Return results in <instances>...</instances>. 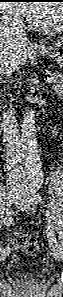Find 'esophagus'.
<instances>
[{
    "label": "esophagus",
    "mask_w": 63,
    "mask_h": 297,
    "mask_svg": "<svg viewBox=\"0 0 63 297\" xmlns=\"http://www.w3.org/2000/svg\"><path fill=\"white\" fill-rule=\"evenodd\" d=\"M34 46H35V47H39V44H37V43H34Z\"/></svg>",
    "instance_id": "34e87169"
}]
</instances>
